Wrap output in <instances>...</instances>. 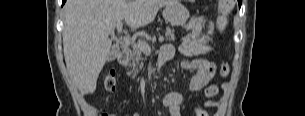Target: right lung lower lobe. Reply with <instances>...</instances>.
Instances as JSON below:
<instances>
[{
  "instance_id": "obj_1",
  "label": "right lung lower lobe",
  "mask_w": 305,
  "mask_h": 116,
  "mask_svg": "<svg viewBox=\"0 0 305 116\" xmlns=\"http://www.w3.org/2000/svg\"><path fill=\"white\" fill-rule=\"evenodd\" d=\"M65 1H66V0H62V4H64V3H65Z\"/></svg>"
}]
</instances>
